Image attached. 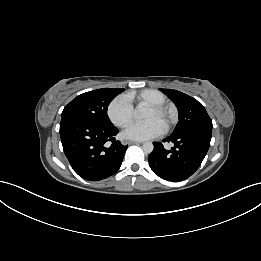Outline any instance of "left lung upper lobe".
<instances>
[{
    "mask_svg": "<svg viewBox=\"0 0 261 261\" xmlns=\"http://www.w3.org/2000/svg\"><path fill=\"white\" fill-rule=\"evenodd\" d=\"M176 105L179 112V123L173 133L197 128H211L212 120L205 108L196 99L173 89H160Z\"/></svg>",
    "mask_w": 261,
    "mask_h": 261,
    "instance_id": "obj_1",
    "label": "left lung upper lobe"
}]
</instances>
